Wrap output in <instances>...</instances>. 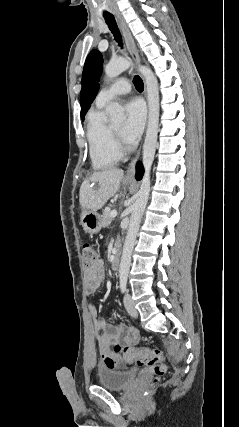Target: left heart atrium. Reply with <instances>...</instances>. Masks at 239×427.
I'll return each mask as SVG.
<instances>
[{
  "mask_svg": "<svg viewBox=\"0 0 239 427\" xmlns=\"http://www.w3.org/2000/svg\"><path fill=\"white\" fill-rule=\"evenodd\" d=\"M126 120L121 134L127 144H134L140 137L145 124V108L143 103L134 99L125 106Z\"/></svg>",
  "mask_w": 239,
  "mask_h": 427,
  "instance_id": "obj_1",
  "label": "left heart atrium"
}]
</instances>
